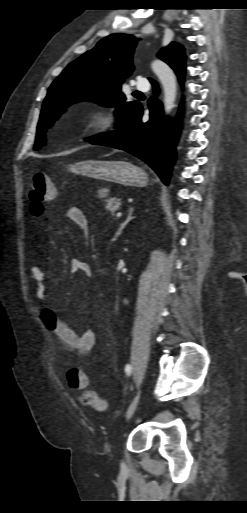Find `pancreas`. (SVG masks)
Returning <instances> with one entry per match:
<instances>
[{
  "label": "pancreas",
  "mask_w": 247,
  "mask_h": 513,
  "mask_svg": "<svg viewBox=\"0 0 247 513\" xmlns=\"http://www.w3.org/2000/svg\"><path fill=\"white\" fill-rule=\"evenodd\" d=\"M121 203L118 198L112 197L106 200L105 208L110 212L112 216L115 215V212L120 209Z\"/></svg>",
  "instance_id": "obj_1"
}]
</instances>
